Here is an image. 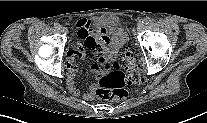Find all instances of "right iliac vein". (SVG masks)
I'll return each mask as SVG.
<instances>
[{"label": "right iliac vein", "instance_id": "obj_1", "mask_svg": "<svg viewBox=\"0 0 207 123\" xmlns=\"http://www.w3.org/2000/svg\"><path fill=\"white\" fill-rule=\"evenodd\" d=\"M60 31H61L62 33H66V32H67V29H66L65 27H61V28H60Z\"/></svg>", "mask_w": 207, "mask_h": 123}]
</instances>
